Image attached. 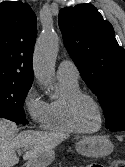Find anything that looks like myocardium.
<instances>
[{
	"instance_id": "myocardium-1",
	"label": "myocardium",
	"mask_w": 125,
	"mask_h": 167,
	"mask_svg": "<svg viewBox=\"0 0 125 167\" xmlns=\"http://www.w3.org/2000/svg\"><path fill=\"white\" fill-rule=\"evenodd\" d=\"M83 99L90 100L96 106V108L98 110L99 125L97 126L96 129H93V130L84 129L79 125V123L77 121V118H76L77 106L80 103V101ZM66 111H67V116H68L69 122L75 128V130L79 133L94 134V133H97L103 126L104 116H103L102 106H101L100 102L93 95H91L89 93L79 91V92L73 94L67 101Z\"/></svg>"
}]
</instances>
